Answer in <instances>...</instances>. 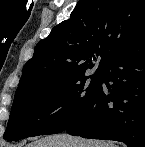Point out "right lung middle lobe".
<instances>
[{"mask_svg": "<svg viewBox=\"0 0 145 147\" xmlns=\"http://www.w3.org/2000/svg\"><path fill=\"white\" fill-rule=\"evenodd\" d=\"M100 72L76 76L57 88H33L15 93L3 138L15 141L26 137L63 132L89 105L101 81Z\"/></svg>", "mask_w": 145, "mask_h": 147, "instance_id": "obj_1", "label": "right lung middle lobe"}]
</instances>
